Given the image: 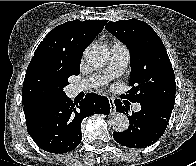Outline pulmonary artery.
<instances>
[{
	"label": "pulmonary artery",
	"mask_w": 196,
	"mask_h": 166,
	"mask_svg": "<svg viewBox=\"0 0 196 166\" xmlns=\"http://www.w3.org/2000/svg\"><path fill=\"white\" fill-rule=\"evenodd\" d=\"M128 62L129 50L127 47L119 43L114 44L111 49V60L108 67L102 73L73 84L71 86L72 92L77 94L107 83L114 77L121 75L125 71ZM133 109L134 111H139L141 109L140 104H135Z\"/></svg>",
	"instance_id": "1"
}]
</instances>
